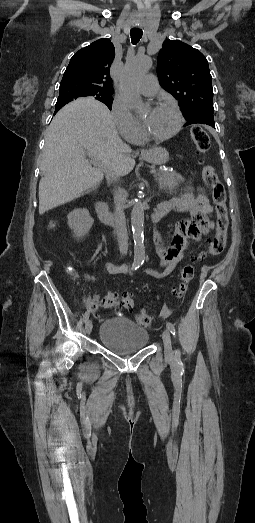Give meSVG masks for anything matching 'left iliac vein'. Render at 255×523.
Instances as JSON below:
<instances>
[{"label": "left iliac vein", "mask_w": 255, "mask_h": 523, "mask_svg": "<svg viewBox=\"0 0 255 523\" xmlns=\"http://www.w3.org/2000/svg\"><path fill=\"white\" fill-rule=\"evenodd\" d=\"M164 346H165V358L172 360L174 358V352L171 345V336L168 329H165L162 334Z\"/></svg>", "instance_id": "left-iliac-vein-1"}]
</instances>
